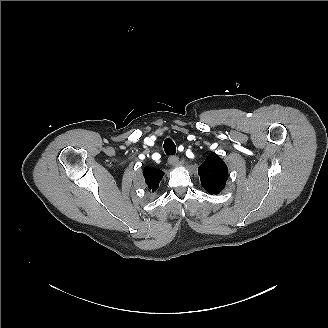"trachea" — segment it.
<instances>
[{
  "label": "trachea",
  "instance_id": "obj_1",
  "mask_svg": "<svg viewBox=\"0 0 328 328\" xmlns=\"http://www.w3.org/2000/svg\"><path fill=\"white\" fill-rule=\"evenodd\" d=\"M164 151L166 154L174 155L176 153V146L170 138H167L164 141Z\"/></svg>",
  "mask_w": 328,
  "mask_h": 328
}]
</instances>
